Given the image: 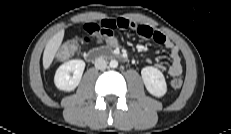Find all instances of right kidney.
<instances>
[{
  "mask_svg": "<svg viewBox=\"0 0 231 134\" xmlns=\"http://www.w3.org/2000/svg\"><path fill=\"white\" fill-rule=\"evenodd\" d=\"M85 62L80 59L70 60L62 64L56 71L54 83L62 91H72L80 83Z\"/></svg>",
  "mask_w": 231,
  "mask_h": 134,
  "instance_id": "obj_1",
  "label": "right kidney"
}]
</instances>
